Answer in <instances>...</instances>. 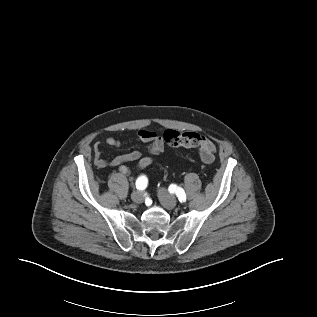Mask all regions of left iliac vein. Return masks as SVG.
I'll return each mask as SVG.
<instances>
[{
	"instance_id": "obj_1",
	"label": "left iliac vein",
	"mask_w": 317,
	"mask_h": 317,
	"mask_svg": "<svg viewBox=\"0 0 317 317\" xmlns=\"http://www.w3.org/2000/svg\"><path fill=\"white\" fill-rule=\"evenodd\" d=\"M157 193L163 207L166 209H172L176 206L177 201L175 196L170 194L165 188H159Z\"/></svg>"
}]
</instances>
